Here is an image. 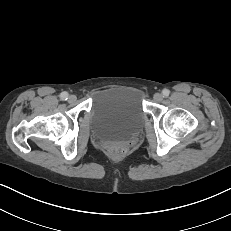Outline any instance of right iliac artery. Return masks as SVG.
<instances>
[{
  "label": "right iliac artery",
  "instance_id": "right-iliac-artery-1",
  "mask_svg": "<svg viewBox=\"0 0 231 231\" xmlns=\"http://www.w3.org/2000/svg\"><path fill=\"white\" fill-rule=\"evenodd\" d=\"M60 98H61V100H67L68 99V93L67 92H62L61 94H60Z\"/></svg>",
  "mask_w": 231,
  "mask_h": 231
}]
</instances>
